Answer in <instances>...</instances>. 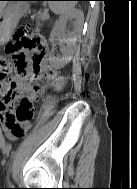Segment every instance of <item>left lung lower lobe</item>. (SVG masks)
Segmentation results:
<instances>
[{
  "label": "left lung lower lobe",
  "instance_id": "1",
  "mask_svg": "<svg viewBox=\"0 0 137 189\" xmlns=\"http://www.w3.org/2000/svg\"><path fill=\"white\" fill-rule=\"evenodd\" d=\"M76 1H89V0H76Z\"/></svg>",
  "mask_w": 137,
  "mask_h": 189
}]
</instances>
